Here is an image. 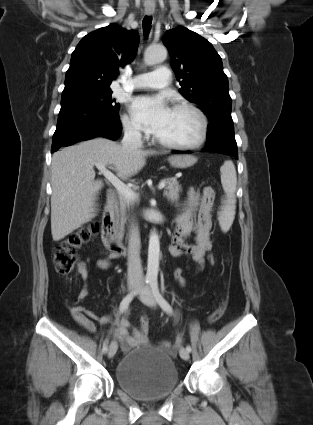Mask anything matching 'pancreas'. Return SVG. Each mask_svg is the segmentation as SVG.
<instances>
[{
	"instance_id": "pancreas-1",
	"label": "pancreas",
	"mask_w": 313,
	"mask_h": 425,
	"mask_svg": "<svg viewBox=\"0 0 313 425\" xmlns=\"http://www.w3.org/2000/svg\"><path fill=\"white\" fill-rule=\"evenodd\" d=\"M167 184L164 190V195L168 200L175 202L179 199V192L181 191V186L179 185L176 178H166L163 180ZM134 190H137L138 187H133ZM135 200H130L125 198L123 195L119 194L117 201L115 202V211L117 215V224L120 231H124V225L126 222V210L131 205H133Z\"/></svg>"
}]
</instances>
